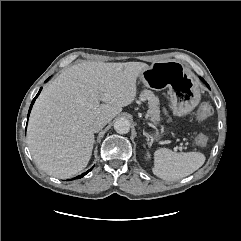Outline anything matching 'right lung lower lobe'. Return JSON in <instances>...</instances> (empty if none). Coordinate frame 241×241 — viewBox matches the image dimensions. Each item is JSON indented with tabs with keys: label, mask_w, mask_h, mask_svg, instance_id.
Here are the masks:
<instances>
[{
	"label": "right lung lower lobe",
	"mask_w": 241,
	"mask_h": 241,
	"mask_svg": "<svg viewBox=\"0 0 241 241\" xmlns=\"http://www.w3.org/2000/svg\"><path fill=\"white\" fill-rule=\"evenodd\" d=\"M41 90H42V88L39 90L38 94H37L36 97L33 99L32 103H31V105H30V109H29L28 117H29L30 111H31V109H32V106H33V104H34L36 98H37L38 95L40 94ZM89 171H91V169L88 170L86 173L82 174L81 176H79L78 178L83 177V176L86 175Z\"/></svg>",
	"instance_id": "1"
}]
</instances>
